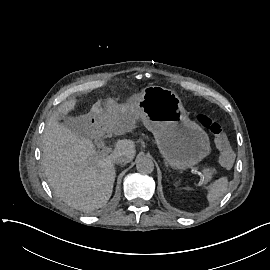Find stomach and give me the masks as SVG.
<instances>
[{
	"instance_id": "0dacf381",
	"label": "stomach",
	"mask_w": 270,
	"mask_h": 270,
	"mask_svg": "<svg viewBox=\"0 0 270 270\" xmlns=\"http://www.w3.org/2000/svg\"><path fill=\"white\" fill-rule=\"evenodd\" d=\"M117 109V115H140L161 154L174 169L185 170L210 153L207 133L188 118L180 98L171 90L149 85L136 95L135 101Z\"/></svg>"
}]
</instances>
